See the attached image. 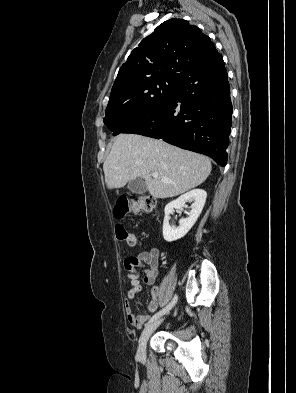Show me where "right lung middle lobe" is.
Listing matches in <instances>:
<instances>
[{
	"label": "right lung middle lobe",
	"instance_id": "right-lung-middle-lobe-1",
	"mask_svg": "<svg viewBox=\"0 0 296 393\" xmlns=\"http://www.w3.org/2000/svg\"><path fill=\"white\" fill-rule=\"evenodd\" d=\"M177 81H161L148 86L143 93L128 100L108 103L104 123L118 135L126 127L146 116L169 98Z\"/></svg>",
	"mask_w": 296,
	"mask_h": 393
}]
</instances>
